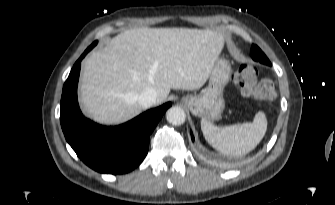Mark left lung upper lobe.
I'll return each instance as SVG.
<instances>
[{
  "instance_id": "obj_1",
  "label": "left lung upper lobe",
  "mask_w": 335,
  "mask_h": 205,
  "mask_svg": "<svg viewBox=\"0 0 335 205\" xmlns=\"http://www.w3.org/2000/svg\"><path fill=\"white\" fill-rule=\"evenodd\" d=\"M251 57L253 60L258 61L265 65H271V62L266 57V55L262 52V50L257 45H252L251 48Z\"/></svg>"
}]
</instances>
